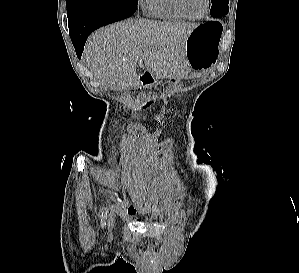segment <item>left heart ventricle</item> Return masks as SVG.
Listing matches in <instances>:
<instances>
[{
	"instance_id": "obj_1",
	"label": "left heart ventricle",
	"mask_w": 299,
	"mask_h": 273,
	"mask_svg": "<svg viewBox=\"0 0 299 273\" xmlns=\"http://www.w3.org/2000/svg\"><path fill=\"white\" fill-rule=\"evenodd\" d=\"M187 12L192 16H200L206 6L205 0H183Z\"/></svg>"
}]
</instances>
